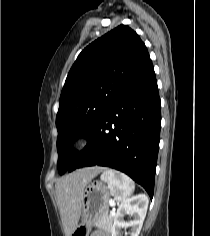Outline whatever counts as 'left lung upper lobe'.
Returning a JSON list of instances; mask_svg holds the SVG:
<instances>
[{"mask_svg":"<svg viewBox=\"0 0 210 236\" xmlns=\"http://www.w3.org/2000/svg\"><path fill=\"white\" fill-rule=\"evenodd\" d=\"M145 44L120 25L88 45L77 57L61 92L56 116L58 171L64 174L76 156L78 136L89 137L119 92L150 62Z\"/></svg>","mask_w":210,"mask_h":236,"instance_id":"5c2ea615","label":"left lung upper lobe"}]
</instances>
